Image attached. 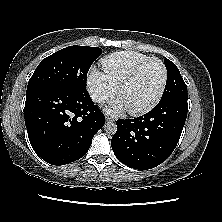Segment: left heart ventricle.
<instances>
[{
    "label": "left heart ventricle",
    "mask_w": 222,
    "mask_h": 222,
    "mask_svg": "<svg viewBox=\"0 0 222 222\" xmlns=\"http://www.w3.org/2000/svg\"><path fill=\"white\" fill-rule=\"evenodd\" d=\"M163 78L162 67L158 62L148 63L136 79L126 86L121 97L128 109L139 108L149 103L158 93Z\"/></svg>",
    "instance_id": "1"
}]
</instances>
